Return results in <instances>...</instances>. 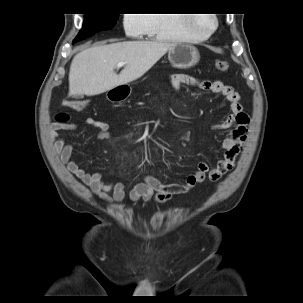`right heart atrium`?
<instances>
[{
	"mask_svg": "<svg viewBox=\"0 0 303 303\" xmlns=\"http://www.w3.org/2000/svg\"><path fill=\"white\" fill-rule=\"evenodd\" d=\"M124 28L131 37H138L145 33L148 25L146 14H126Z\"/></svg>",
	"mask_w": 303,
	"mask_h": 303,
	"instance_id": "obj_1",
	"label": "right heart atrium"
}]
</instances>
